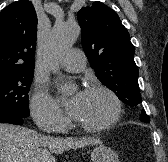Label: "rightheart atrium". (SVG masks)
Segmentation results:
<instances>
[{
  "label": "right heart atrium",
  "instance_id": "d8ad5b80",
  "mask_svg": "<svg viewBox=\"0 0 168 162\" xmlns=\"http://www.w3.org/2000/svg\"><path fill=\"white\" fill-rule=\"evenodd\" d=\"M31 115L37 126L45 131L59 132L67 125V118L43 87H37L30 100Z\"/></svg>",
  "mask_w": 168,
  "mask_h": 162
}]
</instances>
